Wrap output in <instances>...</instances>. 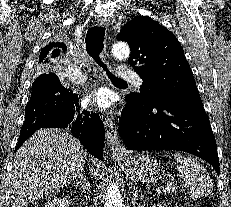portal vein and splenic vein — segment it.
I'll use <instances>...</instances> for the list:
<instances>
[{
  "label": "portal vein and splenic vein",
  "instance_id": "18ae733b",
  "mask_svg": "<svg viewBox=\"0 0 231 207\" xmlns=\"http://www.w3.org/2000/svg\"><path fill=\"white\" fill-rule=\"evenodd\" d=\"M175 190H176V188H175L174 186H167V187L165 188V191H166L167 193L174 192Z\"/></svg>",
  "mask_w": 231,
  "mask_h": 207
}]
</instances>
